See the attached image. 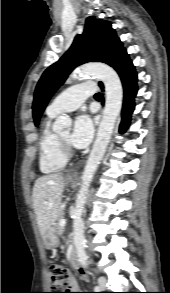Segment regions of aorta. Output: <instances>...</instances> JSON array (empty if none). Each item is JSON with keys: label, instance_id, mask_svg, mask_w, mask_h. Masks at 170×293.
<instances>
[{"label": "aorta", "instance_id": "aorta-1", "mask_svg": "<svg viewBox=\"0 0 170 293\" xmlns=\"http://www.w3.org/2000/svg\"><path fill=\"white\" fill-rule=\"evenodd\" d=\"M71 76L78 80H82L87 76H94L104 83L106 92L103 116L98 128L96 140L81 176V187L76 198L73 213V235L78 260L82 266H87L88 257L85 250L84 222L82 220V214L84 212L89 186L93 180L98 165L106 152L114 130L115 122L121 111L123 89L116 71L104 63H89L83 65L74 71ZM70 125L71 119L66 115H62L57 118L53 128L56 131H61L65 128H69Z\"/></svg>", "mask_w": 170, "mask_h": 293}]
</instances>
